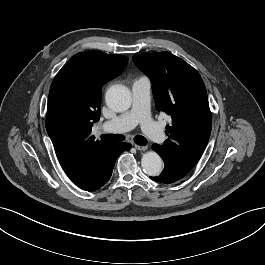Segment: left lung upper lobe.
I'll use <instances>...</instances> for the list:
<instances>
[{"label":"left lung upper lobe","mask_w":265,"mask_h":265,"mask_svg":"<svg viewBox=\"0 0 265 265\" xmlns=\"http://www.w3.org/2000/svg\"><path fill=\"white\" fill-rule=\"evenodd\" d=\"M134 63L151 79L155 104L172 117L160 146L165 165L187 175L208 143L212 117L199 73L169 52L139 54Z\"/></svg>","instance_id":"left-lung-upper-lobe-1"}]
</instances>
